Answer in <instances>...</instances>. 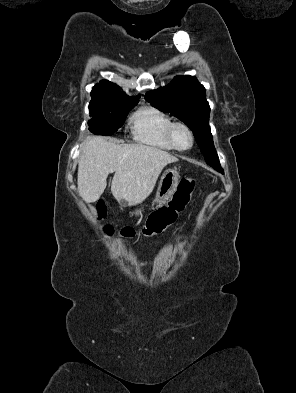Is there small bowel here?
Listing matches in <instances>:
<instances>
[{
  "label": "small bowel",
  "instance_id": "obj_1",
  "mask_svg": "<svg viewBox=\"0 0 296 393\" xmlns=\"http://www.w3.org/2000/svg\"><path fill=\"white\" fill-rule=\"evenodd\" d=\"M141 266L145 267L146 265L145 264H141Z\"/></svg>",
  "mask_w": 296,
  "mask_h": 393
}]
</instances>
